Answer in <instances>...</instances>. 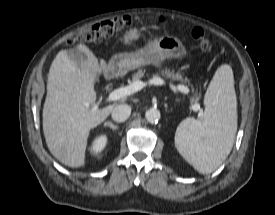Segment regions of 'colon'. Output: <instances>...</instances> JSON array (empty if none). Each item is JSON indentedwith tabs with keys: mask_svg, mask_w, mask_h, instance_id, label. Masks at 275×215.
Instances as JSON below:
<instances>
[{
	"mask_svg": "<svg viewBox=\"0 0 275 215\" xmlns=\"http://www.w3.org/2000/svg\"><path fill=\"white\" fill-rule=\"evenodd\" d=\"M131 17L127 15L116 16L87 28L68 40L69 44L75 43H98L104 39L111 38L131 25ZM193 39L203 51H210L212 43L205 36L201 28H194L191 31Z\"/></svg>",
	"mask_w": 275,
	"mask_h": 215,
	"instance_id": "colon-1",
	"label": "colon"
}]
</instances>
